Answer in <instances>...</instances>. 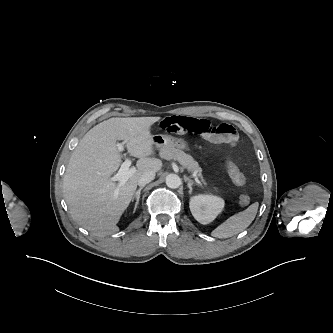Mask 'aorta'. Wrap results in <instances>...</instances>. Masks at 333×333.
Here are the masks:
<instances>
[{
	"label": "aorta",
	"instance_id": "1",
	"mask_svg": "<svg viewBox=\"0 0 333 333\" xmlns=\"http://www.w3.org/2000/svg\"><path fill=\"white\" fill-rule=\"evenodd\" d=\"M166 185L172 189L178 188L181 185V179L176 174H169L166 177Z\"/></svg>",
	"mask_w": 333,
	"mask_h": 333
}]
</instances>
